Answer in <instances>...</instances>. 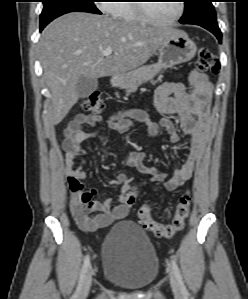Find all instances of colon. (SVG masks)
Listing matches in <instances>:
<instances>
[{"mask_svg": "<svg viewBox=\"0 0 248 299\" xmlns=\"http://www.w3.org/2000/svg\"><path fill=\"white\" fill-rule=\"evenodd\" d=\"M195 65L198 72H209L212 74H217L220 68L217 56L207 48L200 49ZM105 107L106 103L98 92L89 94L82 102V109L90 113L103 112ZM73 187L70 190V211L74 216L84 217L91 213L89 199L84 193V184L74 182ZM134 202V195L129 194L125 196L124 203L127 207H131ZM190 209L191 194L186 192L179 199L173 218L169 223L165 224L155 221L151 217V208L148 205L142 206L138 210V220L145 229L153 232L155 235L171 238L184 228Z\"/></svg>", "mask_w": 248, "mask_h": 299, "instance_id": "5ec220e1", "label": "colon"}]
</instances>
